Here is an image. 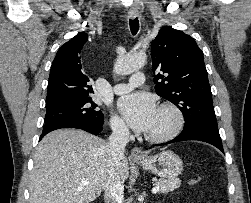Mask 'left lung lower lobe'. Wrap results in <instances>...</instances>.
Here are the masks:
<instances>
[{"label": "left lung lower lobe", "instance_id": "left-lung-lower-lobe-1", "mask_svg": "<svg viewBox=\"0 0 251 203\" xmlns=\"http://www.w3.org/2000/svg\"><path fill=\"white\" fill-rule=\"evenodd\" d=\"M187 140H198V141L207 142L217 147L220 151L224 152L218 128H213L207 125H198L193 128L183 130L173 140L168 141L163 144H159L157 146L167 145L170 143L187 141Z\"/></svg>", "mask_w": 251, "mask_h": 203}]
</instances>
